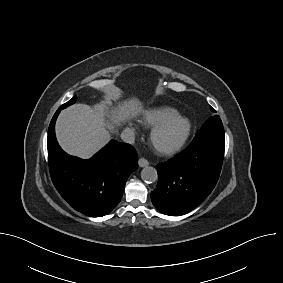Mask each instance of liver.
Segmentation results:
<instances>
[{"label": "liver", "mask_w": 283, "mask_h": 283, "mask_svg": "<svg viewBox=\"0 0 283 283\" xmlns=\"http://www.w3.org/2000/svg\"><path fill=\"white\" fill-rule=\"evenodd\" d=\"M142 111L141 102L125 100L109 114L106 105L95 109L85 104H75L63 110L56 123V135L61 147L69 154L90 158L109 138L102 116L107 115L115 124L136 116Z\"/></svg>", "instance_id": "6515ba94"}]
</instances>
